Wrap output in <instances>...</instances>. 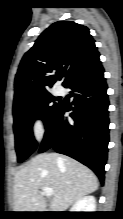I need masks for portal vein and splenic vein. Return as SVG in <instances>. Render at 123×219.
Returning a JSON list of instances; mask_svg holds the SVG:
<instances>
[{"mask_svg": "<svg viewBox=\"0 0 123 219\" xmlns=\"http://www.w3.org/2000/svg\"><path fill=\"white\" fill-rule=\"evenodd\" d=\"M42 190L44 194L48 197H51L53 195V190L49 187H43Z\"/></svg>", "mask_w": 123, "mask_h": 219, "instance_id": "portal-vein-and-splenic-vein-1", "label": "portal vein and splenic vein"}]
</instances>
